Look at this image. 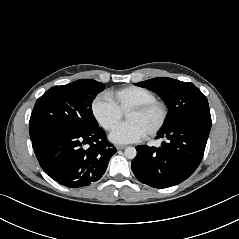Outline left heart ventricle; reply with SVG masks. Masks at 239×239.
Here are the masks:
<instances>
[{
  "instance_id": "obj_1",
  "label": "left heart ventricle",
  "mask_w": 239,
  "mask_h": 239,
  "mask_svg": "<svg viewBox=\"0 0 239 239\" xmlns=\"http://www.w3.org/2000/svg\"><path fill=\"white\" fill-rule=\"evenodd\" d=\"M159 119V114L157 111H151L147 113H128L126 120L128 122H133L141 126L146 133H148L157 123Z\"/></svg>"
}]
</instances>
